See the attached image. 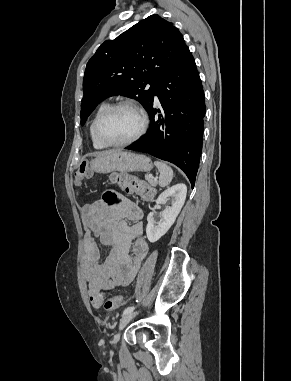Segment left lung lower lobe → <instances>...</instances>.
<instances>
[{"instance_id": "0a47b994", "label": "left lung lower lobe", "mask_w": 291, "mask_h": 381, "mask_svg": "<svg viewBox=\"0 0 291 381\" xmlns=\"http://www.w3.org/2000/svg\"><path fill=\"white\" fill-rule=\"evenodd\" d=\"M155 95L162 111L153 108ZM146 110L150 116L147 133L126 149L148 153L177 165L194 187L202 152L205 100L189 48L158 83Z\"/></svg>"}]
</instances>
